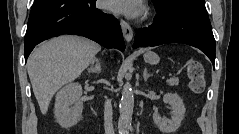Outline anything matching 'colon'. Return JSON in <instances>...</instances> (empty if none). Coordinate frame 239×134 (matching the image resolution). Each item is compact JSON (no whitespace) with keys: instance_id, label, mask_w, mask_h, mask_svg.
<instances>
[{"instance_id":"1","label":"colon","mask_w":239,"mask_h":134,"mask_svg":"<svg viewBox=\"0 0 239 134\" xmlns=\"http://www.w3.org/2000/svg\"><path fill=\"white\" fill-rule=\"evenodd\" d=\"M187 73L189 77V86L194 94H200L205 87V71L201 62L191 60L187 66Z\"/></svg>"}]
</instances>
